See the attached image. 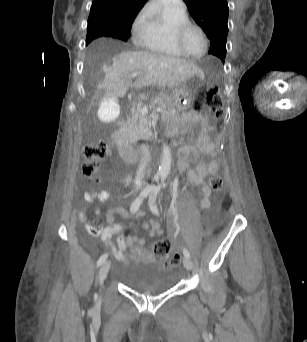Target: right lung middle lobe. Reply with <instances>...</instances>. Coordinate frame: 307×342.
<instances>
[{
  "instance_id": "1",
  "label": "right lung middle lobe",
  "mask_w": 307,
  "mask_h": 342,
  "mask_svg": "<svg viewBox=\"0 0 307 342\" xmlns=\"http://www.w3.org/2000/svg\"><path fill=\"white\" fill-rule=\"evenodd\" d=\"M100 36H110L113 38L121 39L123 41H127L130 36V32L112 31V30H108L105 28L88 24L86 45H88L93 39L100 37Z\"/></svg>"
}]
</instances>
